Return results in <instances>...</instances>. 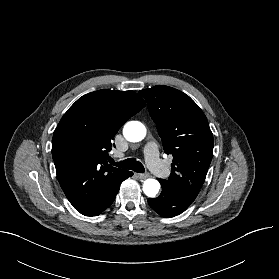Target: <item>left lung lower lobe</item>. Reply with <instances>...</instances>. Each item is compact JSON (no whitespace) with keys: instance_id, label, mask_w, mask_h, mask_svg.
<instances>
[{"instance_id":"left-lung-lower-lobe-1","label":"left lung lower lobe","mask_w":279,"mask_h":279,"mask_svg":"<svg viewBox=\"0 0 279 279\" xmlns=\"http://www.w3.org/2000/svg\"><path fill=\"white\" fill-rule=\"evenodd\" d=\"M158 180L162 186L161 195L149 198L148 204L162 217L170 218L181 214L197 197L195 194L172 188L164 179Z\"/></svg>"}]
</instances>
